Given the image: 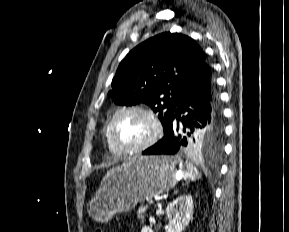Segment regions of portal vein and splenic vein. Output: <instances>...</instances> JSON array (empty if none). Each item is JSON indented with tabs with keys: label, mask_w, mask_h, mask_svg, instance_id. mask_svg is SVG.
<instances>
[{
	"label": "portal vein and splenic vein",
	"mask_w": 289,
	"mask_h": 232,
	"mask_svg": "<svg viewBox=\"0 0 289 232\" xmlns=\"http://www.w3.org/2000/svg\"><path fill=\"white\" fill-rule=\"evenodd\" d=\"M155 200H157V198H155ZM153 202H154L153 200H149V201H148V203H149L150 205L153 204Z\"/></svg>",
	"instance_id": "18ae733b"
}]
</instances>
